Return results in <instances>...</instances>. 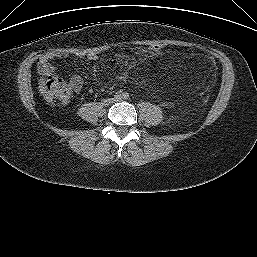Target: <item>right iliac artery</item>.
Listing matches in <instances>:
<instances>
[{
  "mask_svg": "<svg viewBox=\"0 0 257 257\" xmlns=\"http://www.w3.org/2000/svg\"><path fill=\"white\" fill-rule=\"evenodd\" d=\"M121 97V94H119V93H116L115 95H114V98L115 99H119Z\"/></svg>",
  "mask_w": 257,
  "mask_h": 257,
  "instance_id": "obj_1",
  "label": "right iliac artery"
}]
</instances>
